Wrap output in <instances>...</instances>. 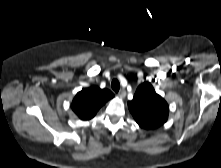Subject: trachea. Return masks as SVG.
<instances>
[{"instance_id":"trachea-1","label":"trachea","mask_w":221,"mask_h":168,"mask_svg":"<svg viewBox=\"0 0 221 168\" xmlns=\"http://www.w3.org/2000/svg\"><path fill=\"white\" fill-rule=\"evenodd\" d=\"M111 87L115 92H118L120 89V83L117 79H113L112 83H111Z\"/></svg>"}]
</instances>
